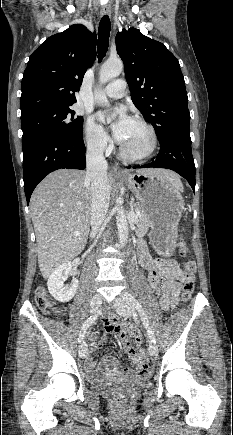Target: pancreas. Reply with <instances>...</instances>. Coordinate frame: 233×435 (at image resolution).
<instances>
[{"label":"pancreas","mask_w":233,"mask_h":435,"mask_svg":"<svg viewBox=\"0 0 233 435\" xmlns=\"http://www.w3.org/2000/svg\"><path fill=\"white\" fill-rule=\"evenodd\" d=\"M135 211L140 213V215L137 217L136 234L142 237L148 232L149 222L146 217L145 209L141 204L136 205Z\"/></svg>","instance_id":"cf45deb5"}]
</instances>
